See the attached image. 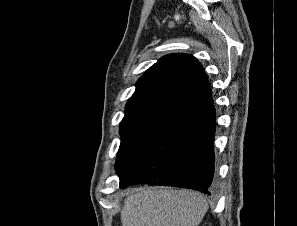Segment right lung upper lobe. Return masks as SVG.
<instances>
[{
  "label": "right lung upper lobe",
  "instance_id": "obj_1",
  "mask_svg": "<svg viewBox=\"0 0 297 226\" xmlns=\"http://www.w3.org/2000/svg\"><path fill=\"white\" fill-rule=\"evenodd\" d=\"M209 97L208 80L198 60L188 54H170L137 81L122 122L143 117L171 118Z\"/></svg>",
  "mask_w": 297,
  "mask_h": 226
}]
</instances>
